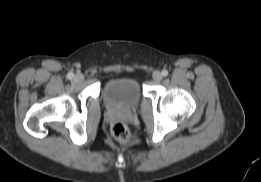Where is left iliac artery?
Listing matches in <instances>:
<instances>
[{
	"mask_svg": "<svg viewBox=\"0 0 261 182\" xmlns=\"http://www.w3.org/2000/svg\"><path fill=\"white\" fill-rule=\"evenodd\" d=\"M162 75H163V76H167V75H168V71L164 69V70L162 71Z\"/></svg>",
	"mask_w": 261,
	"mask_h": 182,
	"instance_id": "1",
	"label": "left iliac artery"
}]
</instances>
